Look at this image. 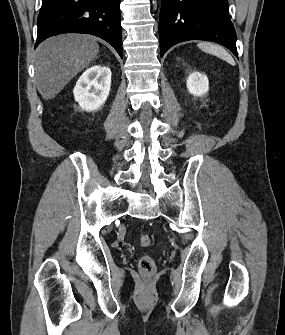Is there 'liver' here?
I'll return each mask as SVG.
<instances>
[{
  "mask_svg": "<svg viewBox=\"0 0 285 335\" xmlns=\"http://www.w3.org/2000/svg\"><path fill=\"white\" fill-rule=\"evenodd\" d=\"M98 52L96 38L86 34H63L40 44L35 52V84L42 98H55Z\"/></svg>",
  "mask_w": 285,
  "mask_h": 335,
  "instance_id": "6515ba94",
  "label": "liver"
}]
</instances>
